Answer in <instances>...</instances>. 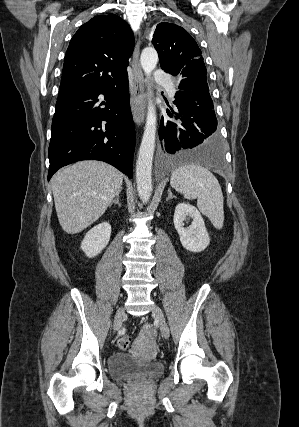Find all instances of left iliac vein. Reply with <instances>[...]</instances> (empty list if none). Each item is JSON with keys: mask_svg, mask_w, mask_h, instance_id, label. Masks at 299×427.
I'll return each mask as SVG.
<instances>
[{"mask_svg": "<svg viewBox=\"0 0 299 427\" xmlns=\"http://www.w3.org/2000/svg\"><path fill=\"white\" fill-rule=\"evenodd\" d=\"M152 315L159 322V326H160L162 336L165 339H168L170 336L169 327L167 325V322H166V319L164 317L162 310L157 305H154L152 307Z\"/></svg>", "mask_w": 299, "mask_h": 427, "instance_id": "left-iliac-vein-1", "label": "left iliac vein"}]
</instances>
